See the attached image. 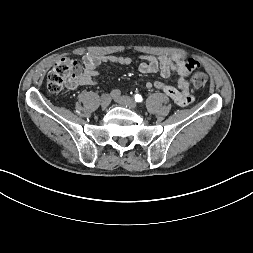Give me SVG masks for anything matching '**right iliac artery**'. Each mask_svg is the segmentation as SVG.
I'll return each instance as SVG.
<instances>
[{"label":"right iliac artery","instance_id":"obj_1","mask_svg":"<svg viewBox=\"0 0 253 253\" xmlns=\"http://www.w3.org/2000/svg\"><path fill=\"white\" fill-rule=\"evenodd\" d=\"M110 95L115 98V97H118L121 95V91L119 89H113L111 92H110Z\"/></svg>","mask_w":253,"mask_h":253}]
</instances>
